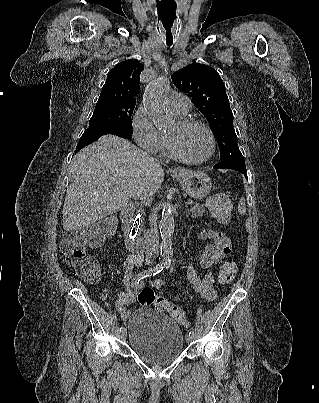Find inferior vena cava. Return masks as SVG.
<instances>
[{"mask_svg":"<svg viewBox=\"0 0 319 403\" xmlns=\"http://www.w3.org/2000/svg\"><path fill=\"white\" fill-rule=\"evenodd\" d=\"M154 193H155L154 190H148V191L142 192L141 194H142L143 198H147ZM149 219H150V223H151V230H150L149 236L147 237V248L150 251H157L159 242H158V234H157L155 216L152 214V215H150Z\"/></svg>","mask_w":319,"mask_h":403,"instance_id":"obj_1","label":"inferior vena cava"}]
</instances>
